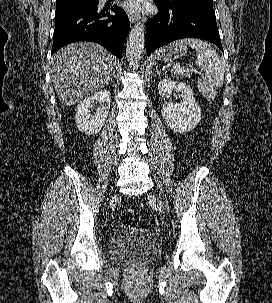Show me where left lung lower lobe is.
Segmentation results:
<instances>
[{
    "instance_id": "obj_1",
    "label": "left lung lower lobe",
    "mask_w": 272,
    "mask_h": 303,
    "mask_svg": "<svg viewBox=\"0 0 272 303\" xmlns=\"http://www.w3.org/2000/svg\"><path fill=\"white\" fill-rule=\"evenodd\" d=\"M159 13L147 20L146 52L185 37L205 39L222 49L213 8L185 6L165 7L157 3Z\"/></svg>"
}]
</instances>
